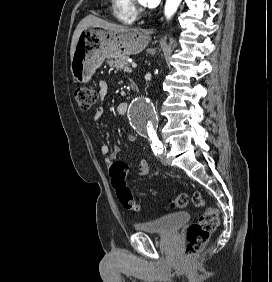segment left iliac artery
Returning a JSON list of instances; mask_svg holds the SVG:
<instances>
[{
    "mask_svg": "<svg viewBox=\"0 0 272 282\" xmlns=\"http://www.w3.org/2000/svg\"><path fill=\"white\" fill-rule=\"evenodd\" d=\"M151 148H152V150L155 154L156 153L162 154L163 151H164L163 144L160 142V140L158 138H155V139L152 140Z\"/></svg>",
    "mask_w": 272,
    "mask_h": 282,
    "instance_id": "left-iliac-artery-1",
    "label": "left iliac artery"
}]
</instances>
